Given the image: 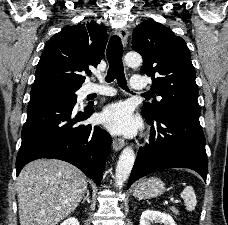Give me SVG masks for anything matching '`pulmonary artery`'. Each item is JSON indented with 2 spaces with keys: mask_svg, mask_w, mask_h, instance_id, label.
<instances>
[{
  "mask_svg": "<svg viewBox=\"0 0 228 225\" xmlns=\"http://www.w3.org/2000/svg\"><path fill=\"white\" fill-rule=\"evenodd\" d=\"M132 80H145V75H132ZM133 90H144L146 86V81H133ZM85 94H96V95H103V96H113L117 92L114 88L107 86L106 84H95L89 82L86 84L84 88Z\"/></svg>",
  "mask_w": 228,
  "mask_h": 225,
  "instance_id": "e3ab8cb5",
  "label": "pulmonary artery"
}]
</instances>
